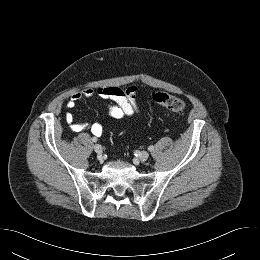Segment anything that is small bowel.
Instances as JSON below:
<instances>
[{
	"instance_id": "small-bowel-1",
	"label": "small bowel",
	"mask_w": 260,
	"mask_h": 260,
	"mask_svg": "<svg viewBox=\"0 0 260 260\" xmlns=\"http://www.w3.org/2000/svg\"><path fill=\"white\" fill-rule=\"evenodd\" d=\"M139 90V86H130L127 88L117 86L98 87L96 89L85 88L72 94L68 99L66 106L68 109H74L77 102L81 99L97 96L111 102L107 106V114L109 116L115 119H122L132 116L140 111L137 102V94ZM65 121L74 132H81L90 128L92 134L96 137H101L105 131L101 123L95 122L89 124L86 121H77L71 112L65 114Z\"/></svg>"
}]
</instances>
